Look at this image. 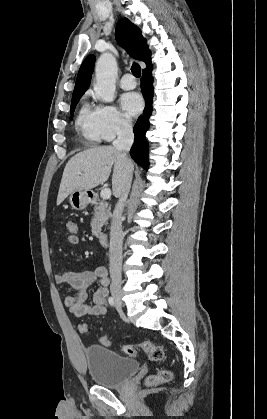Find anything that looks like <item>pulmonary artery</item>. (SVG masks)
Returning <instances> with one entry per match:
<instances>
[{
	"instance_id": "obj_1",
	"label": "pulmonary artery",
	"mask_w": 267,
	"mask_h": 419,
	"mask_svg": "<svg viewBox=\"0 0 267 419\" xmlns=\"http://www.w3.org/2000/svg\"><path fill=\"white\" fill-rule=\"evenodd\" d=\"M120 85L125 90L134 89L136 87V81L134 76L130 73L123 75L120 80Z\"/></svg>"
}]
</instances>
